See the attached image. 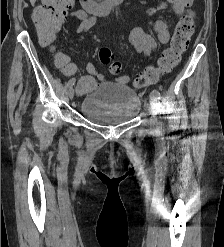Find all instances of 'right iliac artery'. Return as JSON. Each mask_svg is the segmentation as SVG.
I'll return each instance as SVG.
<instances>
[{
  "label": "right iliac artery",
  "instance_id": "82829eb1",
  "mask_svg": "<svg viewBox=\"0 0 224 247\" xmlns=\"http://www.w3.org/2000/svg\"><path fill=\"white\" fill-rule=\"evenodd\" d=\"M74 83H75V79H74V78H72V79H70V80H69V82H68V86H69V87H71V86H73V85H74Z\"/></svg>",
  "mask_w": 224,
  "mask_h": 247
}]
</instances>
